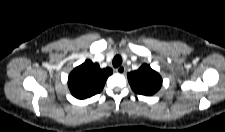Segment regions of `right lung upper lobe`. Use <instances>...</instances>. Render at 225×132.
<instances>
[{"instance_id":"1","label":"right lung upper lobe","mask_w":225,"mask_h":132,"mask_svg":"<svg viewBox=\"0 0 225 132\" xmlns=\"http://www.w3.org/2000/svg\"><path fill=\"white\" fill-rule=\"evenodd\" d=\"M111 74L110 68L101 69L97 63L86 60L70 73L68 87L74 97L86 99L100 93Z\"/></svg>"}]
</instances>
